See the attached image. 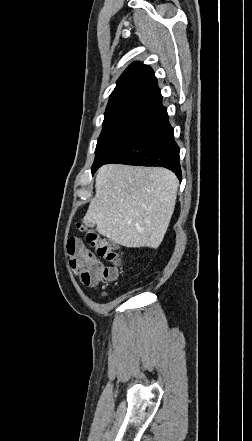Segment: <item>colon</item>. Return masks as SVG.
<instances>
[{"instance_id":"colon-1","label":"colon","mask_w":252,"mask_h":441,"mask_svg":"<svg viewBox=\"0 0 252 441\" xmlns=\"http://www.w3.org/2000/svg\"><path fill=\"white\" fill-rule=\"evenodd\" d=\"M86 242L96 254L111 262L112 266H104L98 262L92 252L79 241L72 239L67 243L70 256V266L79 275L87 286H96L99 283H110L117 279L120 263L117 247L107 238L94 231H88Z\"/></svg>"}]
</instances>
